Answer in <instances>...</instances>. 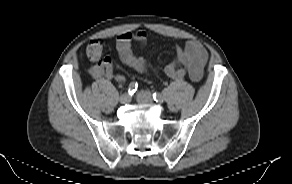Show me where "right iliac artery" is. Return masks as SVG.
Returning <instances> with one entry per match:
<instances>
[{
    "instance_id": "1",
    "label": "right iliac artery",
    "mask_w": 292,
    "mask_h": 184,
    "mask_svg": "<svg viewBox=\"0 0 292 184\" xmlns=\"http://www.w3.org/2000/svg\"><path fill=\"white\" fill-rule=\"evenodd\" d=\"M137 87H138L137 82H131L129 84V87H128V93H129V95L132 96L136 92Z\"/></svg>"
}]
</instances>
